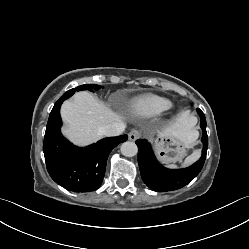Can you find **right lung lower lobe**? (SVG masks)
<instances>
[{
  "label": "right lung lower lobe",
  "mask_w": 249,
  "mask_h": 249,
  "mask_svg": "<svg viewBox=\"0 0 249 249\" xmlns=\"http://www.w3.org/2000/svg\"><path fill=\"white\" fill-rule=\"evenodd\" d=\"M62 102L58 100L55 103L44 137L43 152L48 173L57 184L69 191H94L104 178L108 155L128 136L105 138L85 148L74 146L60 132Z\"/></svg>",
  "instance_id": "98d812e1"
}]
</instances>
